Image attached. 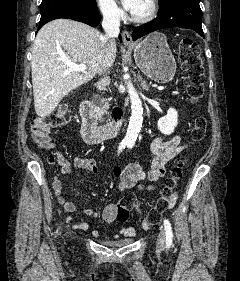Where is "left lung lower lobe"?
Listing matches in <instances>:
<instances>
[{"instance_id": "obj_1", "label": "left lung lower lobe", "mask_w": 240, "mask_h": 281, "mask_svg": "<svg viewBox=\"0 0 240 281\" xmlns=\"http://www.w3.org/2000/svg\"><path fill=\"white\" fill-rule=\"evenodd\" d=\"M199 2L200 0H167L159 6L158 15L154 20L133 31V40L169 27L192 29L204 37Z\"/></svg>"}]
</instances>
